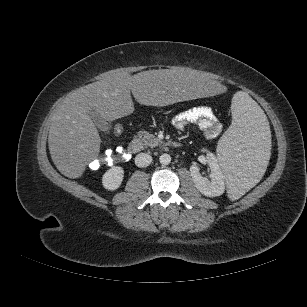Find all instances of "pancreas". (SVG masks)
<instances>
[{"label": "pancreas", "instance_id": "pancreas-1", "mask_svg": "<svg viewBox=\"0 0 307 307\" xmlns=\"http://www.w3.org/2000/svg\"><path fill=\"white\" fill-rule=\"evenodd\" d=\"M132 144H138L141 149H144L160 145L161 140L147 131H141L134 137Z\"/></svg>", "mask_w": 307, "mask_h": 307}]
</instances>
